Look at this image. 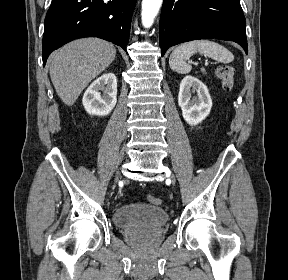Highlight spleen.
<instances>
[{
	"label": "spleen",
	"instance_id": "spleen-1",
	"mask_svg": "<svg viewBox=\"0 0 288 280\" xmlns=\"http://www.w3.org/2000/svg\"><path fill=\"white\" fill-rule=\"evenodd\" d=\"M210 57L221 63H230L234 60L233 54L224 46L210 40H194L177 46L169 57L170 68L177 73L187 74L192 66L186 63L195 53Z\"/></svg>",
	"mask_w": 288,
	"mask_h": 280
}]
</instances>
